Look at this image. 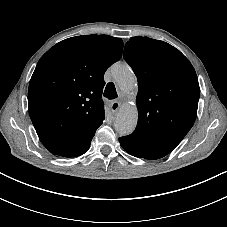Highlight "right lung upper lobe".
<instances>
[{"mask_svg": "<svg viewBox=\"0 0 227 227\" xmlns=\"http://www.w3.org/2000/svg\"><path fill=\"white\" fill-rule=\"evenodd\" d=\"M123 41L108 35L76 36L39 60L28 89L30 118L53 154L76 157L90 147L104 120L103 75L122 56Z\"/></svg>", "mask_w": 227, "mask_h": 227, "instance_id": "1", "label": "right lung upper lobe"}]
</instances>
